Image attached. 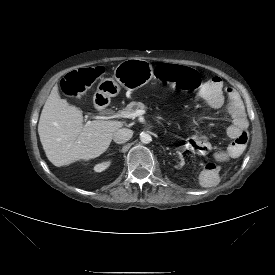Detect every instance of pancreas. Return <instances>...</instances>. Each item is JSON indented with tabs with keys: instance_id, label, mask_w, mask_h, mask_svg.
Returning <instances> with one entry per match:
<instances>
[{
	"instance_id": "pancreas-1",
	"label": "pancreas",
	"mask_w": 275,
	"mask_h": 275,
	"mask_svg": "<svg viewBox=\"0 0 275 275\" xmlns=\"http://www.w3.org/2000/svg\"><path fill=\"white\" fill-rule=\"evenodd\" d=\"M147 107L142 102L132 101L124 109V112H135L136 110H146Z\"/></svg>"
}]
</instances>
